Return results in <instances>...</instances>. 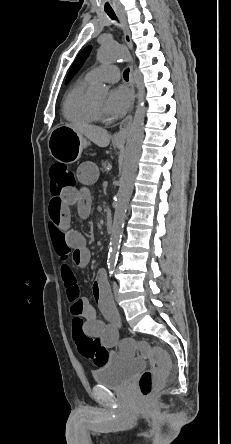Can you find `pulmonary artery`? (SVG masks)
Returning <instances> with one entry per match:
<instances>
[{
  "mask_svg": "<svg viewBox=\"0 0 231 444\" xmlns=\"http://www.w3.org/2000/svg\"><path fill=\"white\" fill-rule=\"evenodd\" d=\"M120 73L117 66L112 64H105L89 70L85 78L91 82H116L119 80Z\"/></svg>",
  "mask_w": 231,
  "mask_h": 444,
  "instance_id": "obj_1",
  "label": "pulmonary artery"
}]
</instances>
